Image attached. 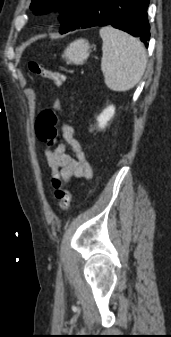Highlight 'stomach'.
I'll return each mask as SVG.
<instances>
[{
	"instance_id": "obj_1",
	"label": "stomach",
	"mask_w": 171,
	"mask_h": 337,
	"mask_svg": "<svg viewBox=\"0 0 171 337\" xmlns=\"http://www.w3.org/2000/svg\"><path fill=\"white\" fill-rule=\"evenodd\" d=\"M90 55V45L87 40L78 39L72 42L64 51L63 57L68 63L83 64Z\"/></svg>"
}]
</instances>
